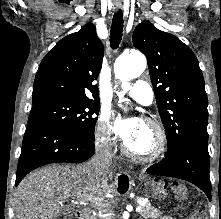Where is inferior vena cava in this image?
I'll return each instance as SVG.
<instances>
[{
  "instance_id": "1",
  "label": "inferior vena cava",
  "mask_w": 221,
  "mask_h": 219,
  "mask_svg": "<svg viewBox=\"0 0 221 219\" xmlns=\"http://www.w3.org/2000/svg\"><path fill=\"white\" fill-rule=\"evenodd\" d=\"M112 146L107 140H101L95 148L90 165L97 176L103 177L109 172L112 163Z\"/></svg>"
}]
</instances>
